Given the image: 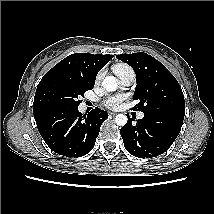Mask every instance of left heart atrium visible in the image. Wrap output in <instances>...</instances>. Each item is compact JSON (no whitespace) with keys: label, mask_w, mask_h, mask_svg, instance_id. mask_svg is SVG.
Wrapping results in <instances>:
<instances>
[{"label":"left heart atrium","mask_w":214,"mask_h":214,"mask_svg":"<svg viewBox=\"0 0 214 214\" xmlns=\"http://www.w3.org/2000/svg\"><path fill=\"white\" fill-rule=\"evenodd\" d=\"M125 94H112L108 95L104 100L103 103L105 106L111 109H117L121 106L122 102L126 99Z\"/></svg>","instance_id":"39dd6f15"}]
</instances>
